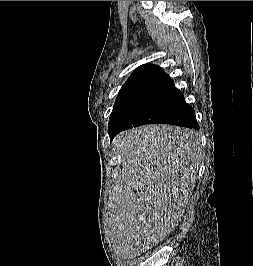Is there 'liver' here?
Here are the masks:
<instances>
[{
	"instance_id": "6515ba94",
	"label": "liver",
	"mask_w": 253,
	"mask_h": 266,
	"mask_svg": "<svg viewBox=\"0 0 253 266\" xmlns=\"http://www.w3.org/2000/svg\"><path fill=\"white\" fill-rule=\"evenodd\" d=\"M122 170L111 199L112 237L133 259L163 241L183 216L201 161L199 135L171 125H145L117 135Z\"/></svg>"
}]
</instances>
